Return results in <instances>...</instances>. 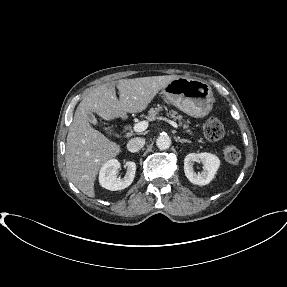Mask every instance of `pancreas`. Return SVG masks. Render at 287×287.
I'll use <instances>...</instances> for the list:
<instances>
[{
	"label": "pancreas",
	"mask_w": 287,
	"mask_h": 287,
	"mask_svg": "<svg viewBox=\"0 0 287 287\" xmlns=\"http://www.w3.org/2000/svg\"><path fill=\"white\" fill-rule=\"evenodd\" d=\"M162 110H163V107H162V106H158V107H156V108H151V109L149 110V112H148V113H149L148 118H149L150 120H154L155 117H156V115H157L159 112H161ZM165 110L167 111V108H165ZM168 114H169V115L171 116V118H173L174 120H178V121H179V125H182V126H183V129H186V132H187V133H189L190 135L193 134L192 131H191L190 129H188V124L182 122V115H178V113H177L176 111H174V110L169 111Z\"/></svg>",
	"instance_id": "cf45deb5"
}]
</instances>
